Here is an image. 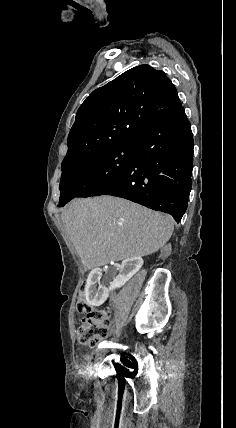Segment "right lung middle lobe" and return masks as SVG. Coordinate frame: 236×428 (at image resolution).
<instances>
[{
	"label": "right lung middle lobe",
	"instance_id": "dd1d6c3e",
	"mask_svg": "<svg viewBox=\"0 0 236 428\" xmlns=\"http://www.w3.org/2000/svg\"><path fill=\"white\" fill-rule=\"evenodd\" d=\"M135 154L136 140H126L63 168L58 207L73 198L94 195L123 172Z\"/></svg>",
	"mask_w": 236,
	"mask_h": 428
}]
</instances>
